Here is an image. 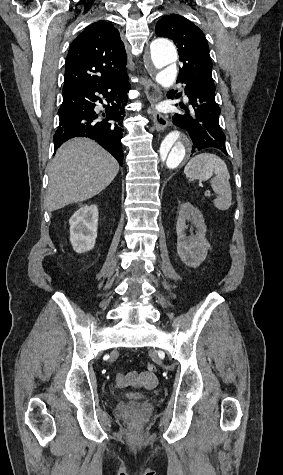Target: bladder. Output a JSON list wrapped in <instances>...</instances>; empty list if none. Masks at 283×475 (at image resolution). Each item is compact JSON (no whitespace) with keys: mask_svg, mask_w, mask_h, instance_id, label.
Returning a JSON list of instances; mask_svg holds the SVG:
<instances>
[{"mask_svg":"<svg viewBox=\"0 0 283 475\" xmlns=\"http://www.w3.org/2000/svg\"><path fill=\"white\" fill-rule=\"evenodd\" d=\"M123 398L126 400V402L130 405H140L145 401L144 396L137 397L136 395H133L131 393H126L123 395Z\"/></svg>","mask_w":283,"mask_h":475,"instance_id":"31cf9c89","label":"bladder"}]
</instances>
